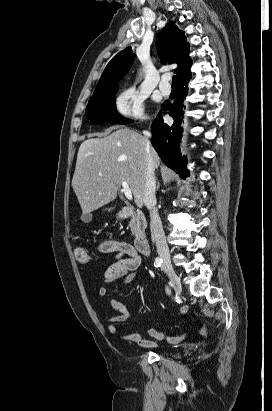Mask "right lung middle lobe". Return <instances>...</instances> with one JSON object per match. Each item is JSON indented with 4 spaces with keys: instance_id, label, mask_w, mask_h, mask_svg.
<instances>
[{
    "instance_id": "right-lung-middle-lobe-1",
    "label": "right lung middle lobe",
    "mask_w": 272,
    "mask_h": 411,
    "mask_svg": "<svg viewBox=\"0 0 272 411\" xmlns=\"http://www.w3.org/2000/svg\"><path fill=\"white\" fill-rule=\"evenodd\" d=\"M118 91V83L105 88H97L91 97L85 115L93 122H108L126 124L132 120L122 117L116 110L115 93Z\"/></svg>"
}]
</instances>
